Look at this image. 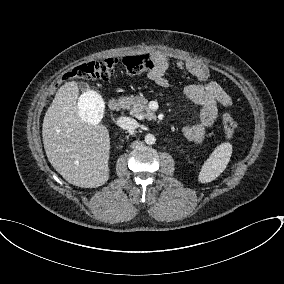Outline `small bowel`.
<instances>
[{"mask_svg": "<svg viewBox=\"0 0 284 284\" xmlns=\"http://www.w3.org/2000/svg\"><path fill=\"white\" fill-rule=\"evenodd\" d=\"M153 68L149 72V79L158 87L166 88L169 85L165 74L170 66L169 58L162 52L151 53ZM175 66L184 70L198 82L191 83L184 88L185 96L200 107L199 124L185 127L183 134L186 139L196 144H202L206 132L212 128L218 118V106L230 107L232 100L224 88L216 81H209L210 71L202 63L197 61L178 59Z\"/></svg>", "mask_w": 284, "mask_h": 284, "instance_id": "1", "label": "small bowel"}]
</instances>
